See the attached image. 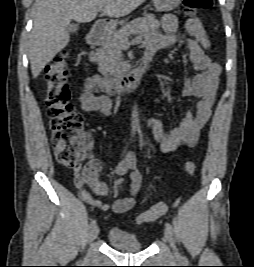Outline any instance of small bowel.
I'll return each instance as SVG.
<instances>
[{
  "mask_svg": "<svg viewBox=\"0 0 254 267\" xmlns=\"http://www.w3.org/2000/svg\"><path fill=\"white\" fill-rule=\"evenodd\" d=\"M179 19L176 15L168 14L162 18V33L155 34L146 44V58L151 59L156 53L175 44L181 39L178 33ZM185 30L187 37L184 45L189 51L190 63L198 72L195 76L184 82L183 95L198 99L195 113L188 112L179 125L170 131H166L163 123L157 117L147 121V128L152 130L153 137L159 143L163 153L174 151L180 145L194 147L199 139L200 131L207 124L215 102L218 80L221 67L211 61L208 54L211 44L206 31L198 18L191 17L186 20ZM108 80H103L98 75H92L85 79L82 91L79 94V106L84 112H97L110 116L113 112V103L107 93L99 95L101 89L106 91ZM107 92V91H106ZM101 164L98 160H90L84 169H74L75 185L79 189L81 198L102 211L111 210L114 213H125L135 205L137 195L142 182L141 172L136 168V158L132 153L116 166L115 173L119 176L129 173L128 191L130 196L116 199L111 205L94 200L83 188L88 185L96 194L107 196L109 186L99 181L98 175ZM122 189V182L116 185V192Z\"/></svg>",
  "mask_w": 254,
  "mask_h": 267,
  "instance_id": "1",
  "label": "small bowel"
}]
</instances>
